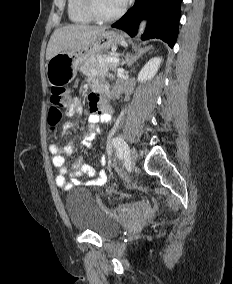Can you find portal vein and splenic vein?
Returning a JSON list of instances; mask_svg holds the SVG:
<instances>
[{"instance_id": "18ae733b", "label": "portal vein and splenic vein", "mask_w": 233, "mask_h": 284, "mask_svg": "<svg viewBox=\"0 0 233 284\" xmlns=\"http://www.w3.org/2000/svg\"><path fill=\"white\" fill-rule=\"evenodd\" d=\"M105 62L119 63V59L117 57H108L106 58Z\"/></svg>"}]
</instances>
